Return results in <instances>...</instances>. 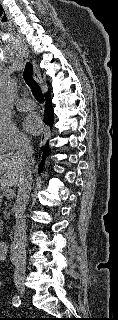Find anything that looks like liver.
I'll return each mask as SVG.
<instances>
[{
  "label": "liver",
  "mask_w": 118,
  "mask_h": 320,
  "mask_svg": "<svg viewBox=\"0 0 118 320\" xmlns=\"http://www.w3.org/2000/svg\"><path fill=\"white\" fill-rule=\"evenodd\" d=\"M23 172L24 164L18 159L17 153L0 155V184L2 186L18 187Z\"/></svg>",
  "instance_id": "6515ba94"
}]
</instances>
